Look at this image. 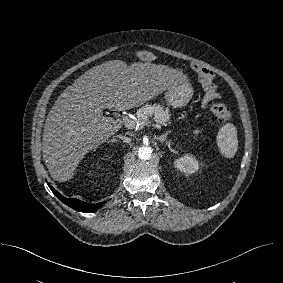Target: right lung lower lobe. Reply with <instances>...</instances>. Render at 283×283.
<instances>
[{"instance_id":"1","label":"right lung lower lobe","mask_w":283,"mask_h":283,"mask_svg":"<svg viewBox=\"0 0 283 283\" xmlns=\"http://www.w3.org/2000/svg\"><path fill=\"white\" fill-rule=\"evenodd\" d=\"M48 186L50 187V189L52 190V192L63 202L65 203L66 205H68L69 207L73 208L74 210H77V211H81V212H88V213H91V212H95L97 211L100 206L102 204H105V201L102 202V203H98V204H88V203H85L83 201H80L78 199H75V198H65L63 197L59 192H57L51 185L48 184Z\"/></svg>"}]
</instances>
